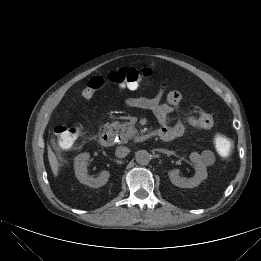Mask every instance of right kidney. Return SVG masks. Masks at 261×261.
Segmentation results:
<instances>
[{"instance_id": "obj_1", "label": "right kidney", "mask_w": 261, "mask_h": 261, "mask_svg": "<svg viewBox=\"0 0 261 261\" xmlns=\"http://www.w3.org/2000/svg\"><path fill=\"white\" fill-rule=\"evenodd\" d=\"M90 158L89 153H81L75 158L74 169L75 175L80 183L92 188H99L108 182L110 173L106 170L102 171L97 178L87 175V165Z\"/></svg>"}]
</instances>
